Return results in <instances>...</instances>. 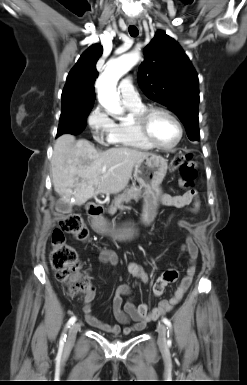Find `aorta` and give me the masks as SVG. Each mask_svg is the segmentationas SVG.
I'll use <instances>...</instances> for the list:
<instances>
[{"instance_id": "aorta-1", "label": "aorta", "mask_w": 247, "mask_h": 385, "mask_svg": "<svg viewBox=\"0 0 247 385\" xmlns=\"http://www.w3.org/2000/svg\"><path fill=\"white\" fill-rule=\"evenodd\" d=\"M139 60L140 54L137 52L109 60L104 72L98 77L95 85L98 100L108 113L113 115H122L124 113V109L120 104L117 83Z\"/></svg>"}]
</instances>
